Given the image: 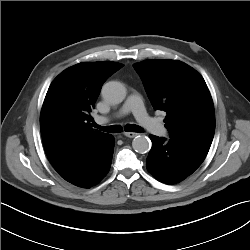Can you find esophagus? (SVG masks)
Returning a JSON list of instances; mask_svg holds the SVG:
<instances>
[{
  "label": "esophagus",
  "mask_w": 250,
  "mask_h": 250,
  "mask_svg": "<svg viewBox=\"0 0 250 250\" xmlns=\"http://www.w3.org/2000/svg\"><path fill=\"white\" fill-rule=\"evenodd\" d=\"M124 135H125L126 137L133 138V137L137 136L138 133H134V132H125Z\"/></svg>",
  "instance_id": "1"
}]
</instances>
